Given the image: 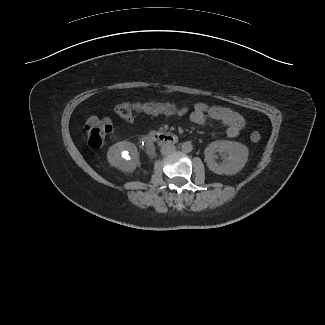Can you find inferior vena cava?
I'll list each match as a JSON object with an SVG mask.
<instances>
[{"label": "inferior vena cava", "mask_w": 325, "mask_h": 325, "mask_svg": "<svg viewBox=\"0 0 325 325\" xmlns=\"http://www.w3.org/2000/svg\"><path fill=\"white\" fill-rule=\"evenodd\" d=\"M176 151V147L173 144H165L161 148L163 155H170Z\"/></svg>", "instance_id": "602c4592"}]
</instances>
